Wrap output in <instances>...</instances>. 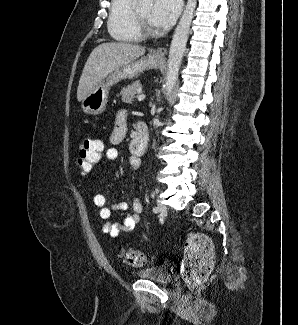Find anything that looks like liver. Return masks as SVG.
<instances>
[{
	"label": "liver",
	"instance_id": "1",
	"mask_svg": "<svg viewBox=\"0 0 298 325\" xmlns=\"http://www.w3.org/2000/svg\"><path fill=\"white\" fill-rule=\"evenodd\" d=\"M145 46L129 44V42H102L90 52L79 78L77 100L81 102L86 94L97 88L115 68H120L128 62H133L145 54Z\"/></svg>",
	"mask_w": 298,
	"mask_h": 325
}]
</instances>
